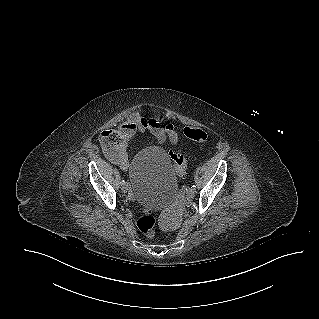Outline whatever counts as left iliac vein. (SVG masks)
Wrapping results in <instances>:
<instances>
[{
	"label": "left iliac vein",
	"mask_w": 319,
	"mask_h": 319,
	"mask_svg": "<svg viewBox=\"0 0 319 319\" xmlns=\"http://www.w3.org/2000/svg\"><path fill=\"white\" fill-rule=\"evenodd\" d=\"M194 195H195V190L189 188V189L187 190V192H186L187 198H188V199H192V198L194 197Z\"/></svg>",
	"instance_id": "left-iliac-vein-1"
}]
</instances>
